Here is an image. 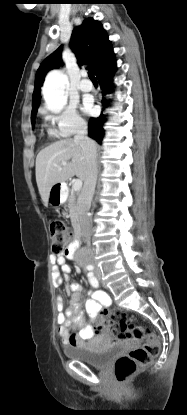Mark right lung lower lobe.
I'll return each instance as SVG.
<instances>
[{"instance_id":"right-lung-lower-lobe-1","label":"right lung lower lobe","mask_w":187,"mask_h":415,"mask_svg":"<svg viewBox=\"0 0 187 415\" xmlns=\"http://www.w3.org/2000/svg\"><path fill=\"white\" fill-rule=\"evenodd\" d=\"M116 69V61L114 56L110 61L96 74L97 79L102 90V95L110 94L113 91L112 78ZM110 100L105 97L102 98L101 103L104 108L109 106ZM106 118L104 114H101L98 118H91L89 121V137L95 139L98 143L102 142L104 137L103 124Z\"/></svg>"}]
</instances>
